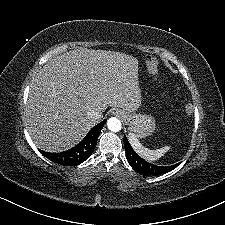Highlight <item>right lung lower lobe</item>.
<instances>
[{"instance_id":"right-lung-lower-lobe-1","label":"right lung lower lobe","mask_w":225,"mask_h":225,"mask_svg":"<svg viewBox=\"0 0 225 225\" xmlns=\"http://www.w3.org/2000/svg\"><path fill=\"white\" fill-rule=\"evenodd\" d=\"M106 119L94 126L85 138L75 147L60 153H49L39 150L49 160L67 166H76L84 162L93 153Z\"/></svg>"}]
</instances>
